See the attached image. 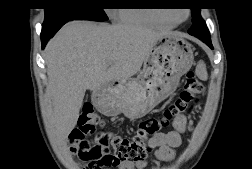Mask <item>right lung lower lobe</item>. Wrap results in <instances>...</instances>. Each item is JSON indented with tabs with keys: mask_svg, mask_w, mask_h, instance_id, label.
Listing matches in <instances>:
<instances>
[{
	"mask_svg": "<svg viewBox=\"0 0 252 169\" xmlns=\"http://www.w3.org/2000/svg\"><path fill=\"white\" fill-rule=\"evenodd\" d=\"M64 24L49 28V29H42L41 32V42H42V48L45 47L47 42L51 37L55 35V33L63 26Z\"/></svg>",
	"mask_w": 252,
	"mask_h": 169,
	"instance_id": "1",
	"label": "right lung lower lobe"
}]
</instances>
